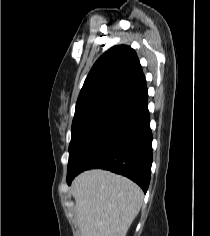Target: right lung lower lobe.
I'll list each match as a JSON object with an SVG mask.
<instances>
[{"label":"right lung lower lobe","mask_w":210,"mask_h":236,"mask_svg":"<svg viewBox=\"0 0 210 236\" xmlns=\"http://www.w3.org/2000/svg\"><path fill=\"white\" fill-rule=\"evenodd\" d=\"M147 100L144 83L98 122L68 163V184L84 170L102 168L130 178L146 193L152 165Z\"/></svg>","instance_id":"right-lung-lower-lobe-1"}]
</instances>
